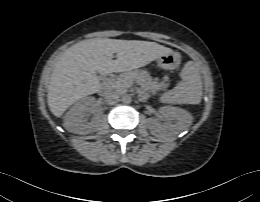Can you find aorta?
I'll list each match as a JSON object with an SVG mask.
<instances>
[{
    "instance_id": "1",
    "label": "aorta",
    "mask_w": 260,
    "mask_h": 202,
    "mask_svg": "<svg viewBox=\"0 0 260 202\" xmlns=\"http://www.w3.org/2000/svg\"><path fill=\"white\" fill-rule=\"evenodd\" d=\"M121 101H122L124 104H129V103H131L132 98H131L130 95L125 94V95L122 96Z\"/></svg>"
}]
</instances>
